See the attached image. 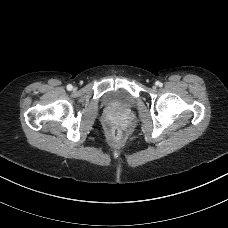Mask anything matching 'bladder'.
I'll use <instances>...</instances> for the list:
<instances>
[{
	"instance_id": "1",
	"label": "bladder",
	"mask_w": 228,
	"mask_h": 228,
	"mask_svg": "<svg viewBox=\"0 0 228 228\" xmlns=\"http://www.w3.org/2000/svg\"><path fill=\"white\" fill-rule=\"evenodd\" d=\"M104 102L110 106H116L119 108L131 107L134 100L130 93L125 90H114L106 94Z\"/></svg>"
}]
</instances>
